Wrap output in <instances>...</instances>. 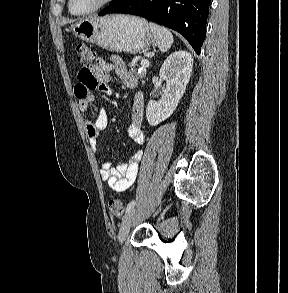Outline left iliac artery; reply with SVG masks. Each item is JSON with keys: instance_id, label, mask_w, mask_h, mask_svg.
Listing matches in <instances>:
<instances>
[{"instance_id": "left-iliac-artery-1", "label": "left iliac artery", "mask_w": 288, "mask_h": 293, "mask_svg": "<svg viewBox=\"0 0 288 293\" xmlns=\"http://www.w3.org/2000/svg\"><path fill=\"white\" fill-rule=\"evenodd\" d=\"M135 205V201H131L126 207V213H128Z\"/></svg>"}]
</instances>
